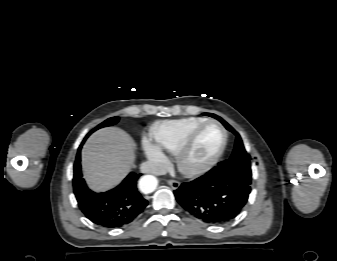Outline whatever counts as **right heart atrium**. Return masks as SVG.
<instances>
[{
    "label": "right heart atrium",
    "instance_id": "1",
    "mask_svg": "<svg viewBox=\"0 0 337 261\" xmlns=\"http://www.w3.org/2000/svg\"><path fill=\"white\" fill-rule=\"evenodd\" d=\"M144 150L148 159L156 166L161 167L166 162V157L153 143L148 140H144Z\"/></svg>",
    "mask_w": 337,
    "mask_h": 261
}]
</instances>
